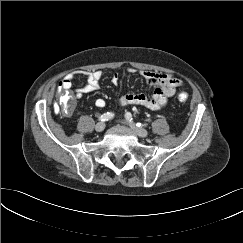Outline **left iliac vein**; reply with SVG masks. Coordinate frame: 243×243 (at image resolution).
<instances>
[{"label":"left iliac vein","instance_id":"left-iliac-vein-1","mask_svg":"<svg viewBox=\"0 0 243 243\" xmlns=\"http://www.w3.org/2000/svg\"><path fill=\"white\" fill-rule=\"evenodd\" d=\"M126 123H128V125L133 129V131L139 137L145 138L148 136V132L145 129L138 127L135 123L130 122V121H126Z\"/></svg>","mask_w":243,"mask_h":243}]
</instances>
